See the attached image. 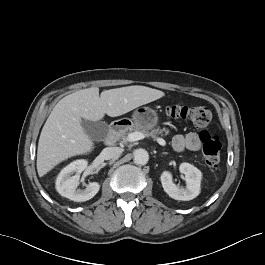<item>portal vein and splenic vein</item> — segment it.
<instances>
[{"label":"portal vein and splenic vein","instance_id":"portal-vein-and-splenic-vein-1","mask_svg":"<svg viewBox=\"0 0 265 265\" xmlns=\"http://www.w3.org/2000/svg\"><path fill=\"white\" fill-rule=\"evenodd\" d=\"M144 135L143 133L141 132H133V133H130L128 136H127V140L129 142H134V141H138V140H141V139H144ZM157 142L161 145V146H165L166 145V141L163 139V138H157L156 139Z\"/></svg>","mask_w":265,"mask_h":265}]
</instances>
